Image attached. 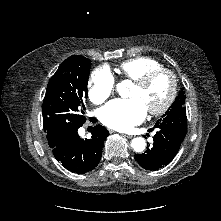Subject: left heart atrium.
Here are the masks:
<instances>
[{
    "label": "left heart atrium",
    "mask_w": 221,
    "mask_h": 221,
    "mask_svg": "<svg viewBox=\"0 0 221 221\" xmlns=\"http://www.w3.org/2000/svg\"><path fill=\"white\" fill-rule=\"evenodd\" d=\"M147 108L139 98L113 100L99 111L100 121L117 131H128L142 122Z\"/></svg>",
    "instance_id": "39dd6f15"
}]
</instances>
